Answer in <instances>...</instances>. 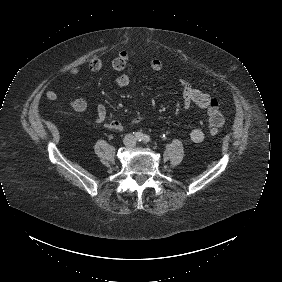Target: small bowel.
<instances>
[{"label": "small bowel", "mask_w": 282, "mask_h": 282, "mask_svg": "<svg viewBox=\"0 0 282 282\" xmlns=\"http://www.w3.org/2000/svg\"><path fill=\"white\" fill-rule=\"evenodd\" d=\"M130 59L129 53L125 50L121 51L118 56L112 61V67L117 71H122L126 68L128 61ZM150 68L159 72L163 68V63L157 59L153 58L148 61ZM103 62L99 58H93L89 63V70L91 72H98L102 69ZM70 75H78L80 73L79 67H74L68 72ZM131 78L128 74L124 73L120 75L115 83L119 87H125L129 85ZM181 91L183 94V110H188L191 105H196L202 109H205L209 106L211 102L210 96L196 89L189 81L182 79L180 80ZM46 96L49 100H55L57 98V92L53 84L49 85ZM69 106L77 111L82 112L87 109L88 102L83 98L72 99L69 101ZM95 122L99 125H102L104 128L115 131H122L124 125L119 121H108V110L104 103L97 101L95 103ZM146 116L144 114H139L133 117L130 121L131 124H139L145 120ZM190 139L194 143H202L205 140V133L198 128L192 129L189 133Z\"/></svg>", "instance_id": "obj_1"}]
</instances>
